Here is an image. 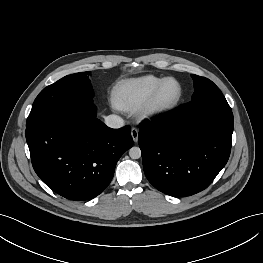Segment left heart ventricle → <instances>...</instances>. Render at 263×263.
<instances>
[{
  "label": "left heart ventricle",
  "mask_w": 263,
  "mask_h": 263,
  "mask_svg": "<svg viewBox=\"0 0 263 263\" xmlns=\"http://www.w3.org/2000/svg\"><path fill=\"white\" fill-rule=\"evenodd\" d=\"M178 93V86L175 82H169L162 93V98L164 100H170L176 96Z\"/></svg>",
  "instance_id": "left-heart-ventricle-1"
}]
</instances>
